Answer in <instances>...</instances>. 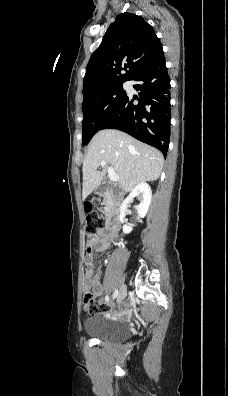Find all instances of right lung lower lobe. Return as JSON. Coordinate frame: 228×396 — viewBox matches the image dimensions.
I'll list each match as a JSON object with an SVG mask.
<instances>
[{
	"label": "right lung lower lobe",
	"instance_id": "98d812e1",
	"mask_svg": "<svg viewBox=\"0 0 228 396\" xmlns=\"http://www.w3.org/2000/svg\"><path fill=\"white\" fill-rule=\"evenodd\" d=\"M140 91L139 103L126 96L117 110L103 123L102 129H118L159 149L166 157L170 136V79L160 46L133 79Z\"/></svg>",
	"mask_w": 228,
	"mask_h": 396
}]
</instances>
